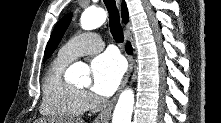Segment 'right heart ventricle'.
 <instances>
[{
    "label": "right heart ventricle",
    "mask_w": 221,
    "mask_h": 123,
    "mask_svg": "<svg viewBox=\"0 0 221 123\" xmlns=\"http://www.w3.org/2000/svg\"><path fill=\"white\" fill-rule=\"evenodd\" d=\"M68 63L57 56L44 76L41 113L45 116L70 119L81 116L87 109L83 93L63 78Z\"/></svg>",
    "instance_id": "right-heart-ventricle-1"
}]
</instances>
